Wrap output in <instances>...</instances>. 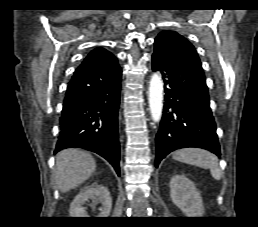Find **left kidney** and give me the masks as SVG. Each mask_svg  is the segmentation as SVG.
Wrapping results in <instances>:
<instances>
[{
  "label": "left kidney",
  "instance_id": "obj_1",
  "mask_svg": "<svg viewBox=\"0 0 258 227\" xmlns=\"http://www.w3.org/2000/svg\"><path fill=\"white\" fill-rule=\"evenodd\" d=\"M169 186L172 202L187 217H202L204 214L202 197L192 181L184 175H175L171 178Z\"/></svg>",
  "mask_w": 258,
  "mask_h": 227
}]
</instances>
